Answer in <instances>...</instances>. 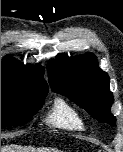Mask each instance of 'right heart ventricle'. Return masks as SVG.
<instances>
[{
	"instance_id": "e07e8e85",
	"label": "right heart ventricle",
	"mask_w": 123,
	"mask_h": 152,
	"mask_svg": "<svg viewBox=\"0 0 123 152\" xmlns=\"http://www.w3.org/2000/svg\"><path fill=\"white\" fill-rule=\"evenodd\" d=\"M45 122L54 128L67 131L81 132L86 129V121L81 113L61 98L55 99Z\"/></svg>"
}]
</instances>
